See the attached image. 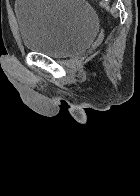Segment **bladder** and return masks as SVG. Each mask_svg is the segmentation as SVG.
Wrapping results in <instances>:
<instances>
[{"label":"bladder","instance_id":"obj_1","mask_svg":"<svg viewBox=\"0 0 140 196\" xmlns=\"http://www.w3.org/2000/svg\"><path fill=\"white\" fill-rule=\"evenodd\" d=\"M14 14L24 48L50 58L85 51L98 31L85 0H16Z\"/></svg>","mask_w":140,"mask_h":196}]
</instances>
